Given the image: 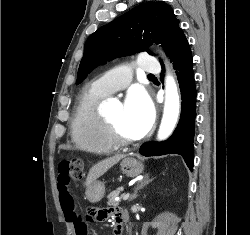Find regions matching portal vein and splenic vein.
I'll use <instances>...</instances> for the list:
<instances>
[{
	"label": "portal vein and splenic vein",
	"instance_id": "portal-vein-and-splenic-vein-1",
	"mask_svg": "<svg viewBox=\"0 0 250 235\" xmlns=\"http://www.w3.org/2000/svg\"><path fill=\"white\" fill-rule=\"evenodd\" d=\"M129 196H130V194H129V193H126V194L123 195L122 198H123L124 201H126V200L129 198ZM119 200H120L119 198H115V201L118 202Z\"/></svg>",
	"mask_w": 250,
	"mask_h": 235
}]
</instances>
